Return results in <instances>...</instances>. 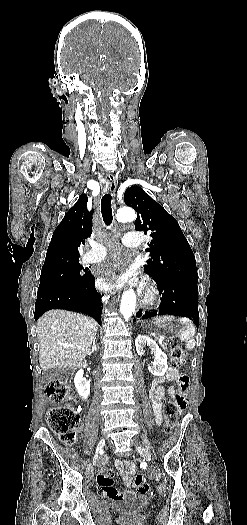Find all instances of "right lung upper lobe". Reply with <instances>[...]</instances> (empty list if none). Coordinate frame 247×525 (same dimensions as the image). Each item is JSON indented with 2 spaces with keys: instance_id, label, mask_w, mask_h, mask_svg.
<instances>
[{
  "instance_id": "1",
  "label": "right lung upper lobe",
  "mask_w": 247,
  "mask_h": 525,
  "mask_svg": "<svg viewBox=\"0 0 247 525\" xmlns=\"http://www.w3.org/2000/svg\"><path fill=\"white\" fill-rule=\"evenodd\" d=\"M88 197L81 194L55 229L48 246L42 271L51 267L79 261L78 248L92 233V211L86 205Z\"/></svg>"
}]
</instances>
